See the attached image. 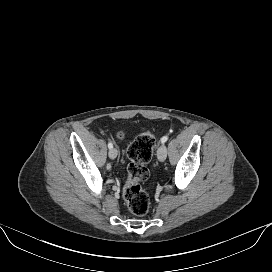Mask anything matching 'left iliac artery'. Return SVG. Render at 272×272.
<instances>
[{
  "instance_id": "1",
  "label": "left iliac artery",
  "mask_w": 272,
  "mask_h": 272,
  "mask_svg": "<svg viewBox=\"0 0 272 272\" xmlns=\"http://www.w3.org/2000/svg\"><path fill=\"white\" fill-rule=\"evenodd\" d=\"M167 140H168V136H164V137L161 138L162 143H165Z\"/></svg>"
}]
</instances>
